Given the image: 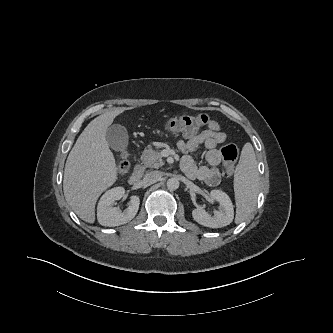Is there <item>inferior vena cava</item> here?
<instances>
[{
	"mask_svg": "<svg viewBox=\"0 0 333 333\" xmlns=\"http://www.w3.org/2000/svg\"><path fill=\"white\" fill-rule=\"evenodd\" d=\"M161 176H162V173L159 171H150L145 174L144 180L147 182L155 181V180H158L159 178H161Z\"/></svg>",
	"mask_w": 333,
	"mask_h": 333,
	"instance_id": "1",
	"label": "inferior vena cava"
}]
</instances>
